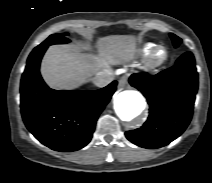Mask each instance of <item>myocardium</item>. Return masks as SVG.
<instances>
[{"label":"myocardium","instance_id":"f54148a6","mask_svg":"<svg viewBox=\"0 0 212 183\" xmlns=\"http://www.w3.org/2000/svg\"><path fill=\"white\" fill-rule=\"evenodd\" d=\"M162 50L164 56L160 59L156 57L158 51ZM169 59V51L166 47L157 45L144 59L140 71L142 73H149L161 66H163Z\"/></svg>","mask_w":212,"mask_h":183}]
</instances>
